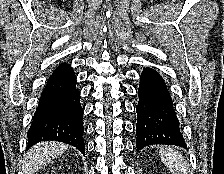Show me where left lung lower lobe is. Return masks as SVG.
I'll use <instances>...</instances> for the list:
<instances>
[{"mask_svg":"<svg viewBox=\"0 0 224 174\" xmlns=\"http://www.w3.org/2000/svg\"><path fill=\"white\" fill-rule=\"evenodd\" d=\"M138 96L137 150L155 144L186 147L173 100L165 81L156 70L149 67L143 69Z\"/></svg>","mask_w":224,"mask_h":174,"instance_id":"0a47b994","label":"left lung lower lobe"}]
</instances>
